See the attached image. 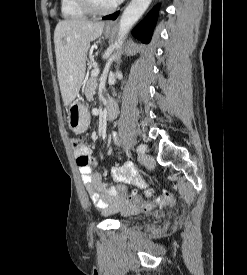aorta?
I'll use <instances>...</instances> for the list:
<instances>
[{
	"mask_svg": "<svg viewBox=\"0 0 247 275\" xmlns=\"http://www.w3.org/2000/svg\"><path fill=\"white\" fill-rule=\"evenodd\" d=\"M152 0H131L129 5L124 10L120 22L117 40L115 41L116 53H114L113 58L117 62L120 60L121 48L125 37L134 26V24L140 19V17L145 13L149 7ZM118 70L116 75H118Z\"/></svg>",
	"mask_w": 247,
	"mask_h": 275,
	"instance_id": "aorta-1",
	"label": "aorta"
}]
</instances>
